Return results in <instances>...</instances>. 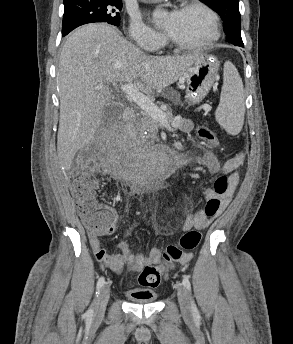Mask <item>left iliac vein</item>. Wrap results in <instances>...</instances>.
Masks as SVG:
<instances>
[{
  "instance_id": "1",
  "label": "left iliac vein",
  "mask_w": 293,
  "mask_h": 344,
  "mask_svg": "<svg viewBox=\"0 0 293 344\" xmlns=\"http://www.w3.org/2000/svg\"><path fill=\"white\" fill-rule=\"evenodd\" d=\"M177 296H178L179 305H180L183 315L186 317H190L192 312H191L189 296L185 287H183L182 285L177 286Z\"/></svg>"
}]
</instances>
